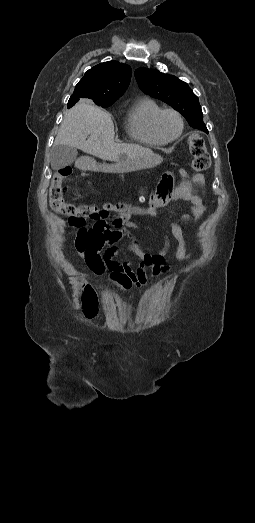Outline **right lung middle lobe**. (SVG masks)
<instances>
[{
    "label": "right lung middle lobe",
    "instance_id": "1",
    "mask_svg": "<svg viewBox=\"0 0 255 523\" xmlns=\"http://www.w3.org/2000/svg\"><path fill=\"white\" fill-rule=\"evenodd\" d=\"M113 103L114 102H102V103H96V105L106 108V107L111 106Z\"/></svg>",
    "mask_w": 255,
    "mask_h": 523
}]
</instances>
